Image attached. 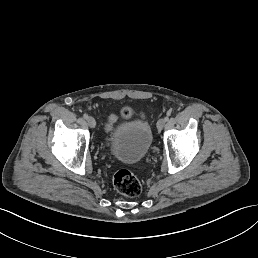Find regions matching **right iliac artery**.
<instances>
[{
    "mask_svg": "<svg viewBox=\"0 0 258 258\" xmlns=\"http://www.w3.org/2000/svg\"><path fill=\"white\" fill-rule=\"evenodd\" d=\"M83 118H84V119H88V118H89L88 114L85 113V114L83 115Z\"/></svg>",
    "mask_w": 258,
    "mask_h": 258,
    "instance_id": "obj_1",
    "label": "right iliac artery"
}]
</instances>
